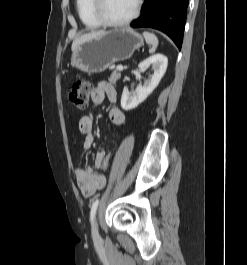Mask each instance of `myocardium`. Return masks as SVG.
<instances>
[{
	"label": "myocardium",
	"mask_w": 247,
	"mask_h": 265,
	"mask_svg": "<svg viewBox=\"0 0 247 265\" xmlns=\"http://www.w3.org/2000/svg\"><path fill=\"white\" fill-rule=\"evenodd\" d=\"M104 2L105 0H92V11L96 19L101 23V25L106 27H124L132 23L141 11L143 0H136L135 8L131 15L124 20H112L109 19L104 13Z\"/></svg>",
	"instance_id": "myocardium-1"
}]
</instances>
